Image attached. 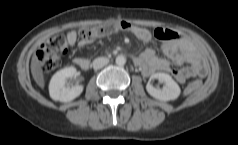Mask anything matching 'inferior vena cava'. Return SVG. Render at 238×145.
<instances>
[{
    "instance_id": "obj_1",
    "label": "inferior vena cava",
    "mask_w": 238,
    "mask_h": 145,
    "mask_svg": "<svg viewBox=\"0 0 238 145\" xmlns=\"http://www.w3.org/2000/svg\"><path fill=\"white\" fill-rule=\"evenodd\" d=\"M109 62V59L106 57H98L94 59L92 66L95 70L103 68L105 65H107Z\"/></svg>"
}]
</instances>
